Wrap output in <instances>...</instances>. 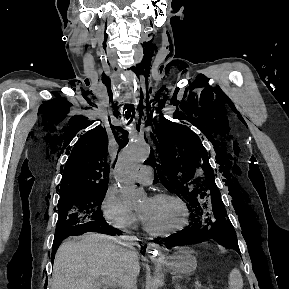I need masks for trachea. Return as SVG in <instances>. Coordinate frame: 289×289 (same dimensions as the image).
Listing matches in <instances>:
<instances>
[{"label": "trachea", "mask_w": 289, "mask_h": 289, "mask_svg": "<svg viewBox=\"0 0 289 289\" xmlns=\"http://www.w3.org/2000/svg\"><path fill=\"white\" fill-rule=\"evenodd\" d=\"M131 112L134 114V110H130V111L128 110V111L125 112L126 119L127 120L130 119V121H132Z\"/></svg>", "instance_id": "3493384b"}]
</instances>
